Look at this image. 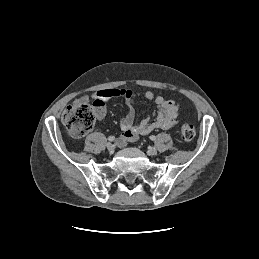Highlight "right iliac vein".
<instances>
[{
  "label": "right iliac vein",
  "instance_id": "right-iliac-vein-1",
  "mask_svg": "<svg viewBox=\"0 0 259 259\" xmlns=\"http://www.w3.org/2000/svg\"><path fill=\"white\" fill-rule=\"evenodd\" d=\"M106 147H107V149H108V151H109L110 153H113V152H114V145H113V144L107 143Z\"/></svg>",
  "mask_w": 259,
  "mask_h": 259
}]
</instances>
